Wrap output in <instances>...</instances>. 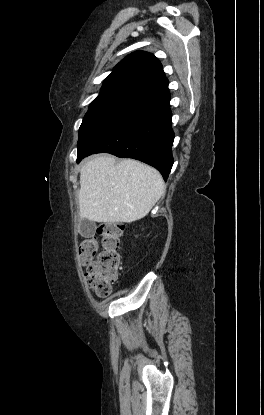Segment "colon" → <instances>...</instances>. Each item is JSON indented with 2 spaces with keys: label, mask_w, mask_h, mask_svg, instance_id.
<instances>
[{
  "label": "colon",
  "mask_w": 264,
  "mask_h": 415,
  "mask_svg": "<svg viewBox=\"0 0 264 415\" xmlns=\"http://www.w3.org/2000/svg\"><path fill=\"white\" fill-rule=\"evenodd\" d=\"M122 235V225L105 224L79 246V261L86 269L84 281L98 297L109 296L112 285L118 278L121 267L119 248Z\"/></svg>",
  "instance_id": "5ec220e1"
}]
</instances>
